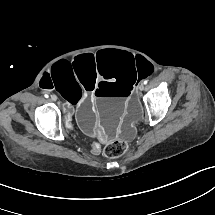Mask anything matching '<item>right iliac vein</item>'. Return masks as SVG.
<instances>
[{
	"instance_id": "1",
	"label": "right iliac vein",
	"mask_w": 215,
	"mask_h": 215,
	"mask_svg": "<svg viewBox=\"0 0 215 215\" xmlns=\"http://www.w3.org/2000/svg\"><path fill=\"white\" fill-rule=\"evenodd\" d=\"M51 100L56 101V100H57L56 95L52 94V95H51Z\"/></svg>"
}]
</instances>
